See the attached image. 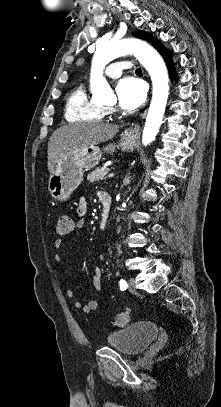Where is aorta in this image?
Instances as JSON below:
<instances>
[{"mask_svg": "<svg viewBox=\"0 0 221 407\" xmlns=\"http://www.w3.org/2000/svg\"><path fill=\"white\" fill-rule=\"evenodd\" d=\"M129 53L136 56L152 79V101L142 135V143L148 145L159 131L169 94V78L165 63L153 47L138 39L98 43L92 60L90 88L94 99L105 101L110 98L112 90L103 76V70L112 60Z\"/></svg>", "mask_w": 221, "mask_h": 407, "instance_id": "762f6f07", "label": "aorta"}]
</instances>
